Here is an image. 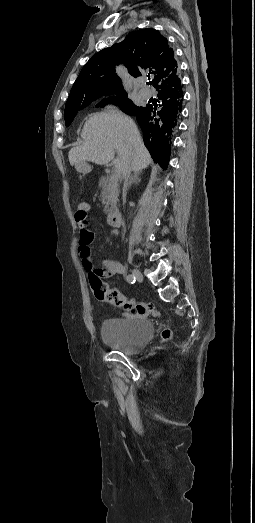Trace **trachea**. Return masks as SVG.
<instances>
[{"label": "trachea", "mask_w": 255, "mask_h": 523, "mask_svg": "<svg viewBox=\"0 0 255 523\" xmlns=\"http://www.w3.org/2000/svg\"><path fill=\"white\" fill-rule=\"evenodd\" d=\"M148 85H151V82H148Z\"/></svg>", "instance_id": "3493384b"}]
</instances>
